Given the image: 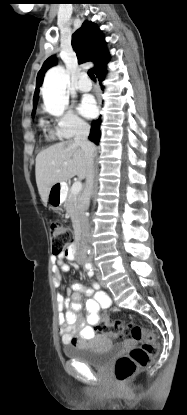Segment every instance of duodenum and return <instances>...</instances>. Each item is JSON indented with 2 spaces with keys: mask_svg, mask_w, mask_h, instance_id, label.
I'll return each mask as SVG.
<instances>
[{
  "mask_svg": "<svg viewBox=\"0 0 187 415\" xmlns=\"http://www.w3.org/2000/svg\"><path fill=\"white\" fill-rule=\"evenodd\" d=\"M81 242V229L77 226L75 228V244H79ZM75 250V246L73 245L69 250V255L71 256Z\"/></svg>",
  "mask_w": 187,
  "mask_h": 415,
  "instance_id": "1",
  "label": "duodenum"
}]
</instances>
